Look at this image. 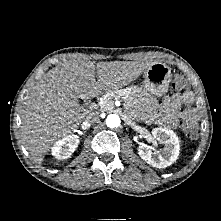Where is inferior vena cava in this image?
<instances>
[{
    "mask_svg": "<svg viewBox=\"0 0 221 221\" xmlns=\"http://www.w3.org/2000/svg\"><path fill=\"white\" fill-rule=\"evenodd\" d=\"M99 120V117L97 114H90L87 118H86V122L88 124H93L95 122H97Z\"/></svg>",
    "mask_w": 221,
    "mask_h": 221,
    "instance_id": "inferior-vena-cava-1",
    "label": "inferior vena cava"
}]
</instances>
